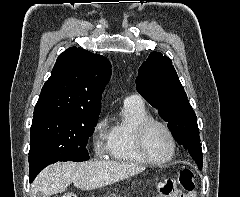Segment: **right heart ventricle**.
I'll use <instances>...</instances> for the list:
<instances>
[{
	"mask_svg": "<svg viewBox=\"0 0 240 197\" xmlns=\"http://www.w3.org/2000/svg\"><path fill=\"white\" fill-rule=\"evenodd\" d=\"M149 117L143 105L124 104L122 120L113 124L108 131V157L129 164H144L146 161L137 152L133 141L135 126Z\"/></svg>",
	"mask_w": 240,
	"mask_h": 197,
	"instance_id": "obj_1",
	"label": "right heart ventricle"
}]
</instances>
